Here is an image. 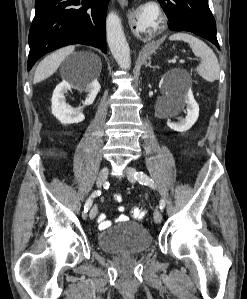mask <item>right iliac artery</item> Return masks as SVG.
Segmentation results:
<instances>
[{
  "mask_svg": "<svg viewBox=\"0 0 247 299\" xmlns=\"http://www.w3.org/2000/svg\"><path fill=\"white\" fill-rule=\"evenodd\" d=\"M101 194L100 190H96L94 191L90 197L87 199L85 206H84V212H88V210L90 209L91 205H92V201L95 197L99 196Z\"/></svg>",
  "mask_w": 247,
  "mask_h": 299,
  "instance_id": "right-iliac-artery-1",
  "label": "right iliac artery"
}]
</instances>
